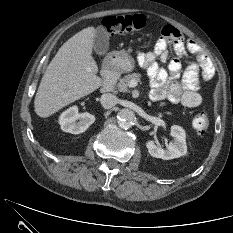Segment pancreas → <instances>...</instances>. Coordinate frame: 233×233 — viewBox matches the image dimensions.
<instances>
[{"label": "pancreas", "mask_w": 233, "mask_h": 233, "mask_svg": "<svg viewBox=\"0 0 233 233\" xmlns=\"http://www.w3.org/2000/svg\"><path fill=\"white\" fill-rule=\"evenodd\" d=\"M140 78H141L140 73H132V74L126 75L123 78L119 79V82H118L116 88L120 92H127L128 88H129V85H130V81L131 80H136V81L139 82ZM168 114H171V113L168 112Z\"/></svg>", "instance_id": "cf45deb5"}]
</instances>
